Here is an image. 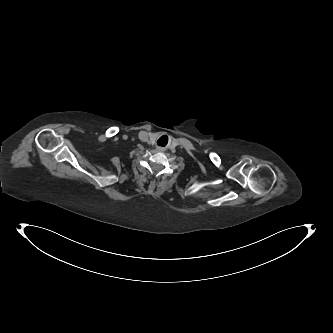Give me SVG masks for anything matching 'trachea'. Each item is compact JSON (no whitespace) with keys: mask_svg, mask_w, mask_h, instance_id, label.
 Listing matches in <instances>:
<instances>
[{"mask_svg":"<svg viewBox=\"0 0 333 333\" xmlns=\"http://www.w3.org/2000/svg\"><path fill=\"white\" fill-rule=\"evenodd\" d=\"M167 142H168V137L165 135L160 137L159 140L157 141L158 145L160 146H164Z\"/></svg>","mask_w":333,"mask_h":333,"instance_id":"1","label":"trachea"}]
</instances>
